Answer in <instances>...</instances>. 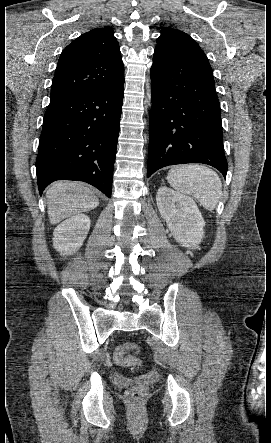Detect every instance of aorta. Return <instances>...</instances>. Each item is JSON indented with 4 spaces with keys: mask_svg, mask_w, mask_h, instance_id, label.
Instances as JSON below:
<instances>
[{
    "mask_svg": "<svg viewBox=\"0 0 271 443\" xmlns=\"http://www.w3.org/2000/svg\"><path fill=\"white\" fill-rule=\"evenodd\" d=\"M147 96H148V102H150V100H151V94H150V92H149V94H147Z\"/></svg>",
    "mask_w": 271,
    "mask_h": 443,
    "instance_id": "762f6f07",
    "label": "aorta"
}]
</instances>
